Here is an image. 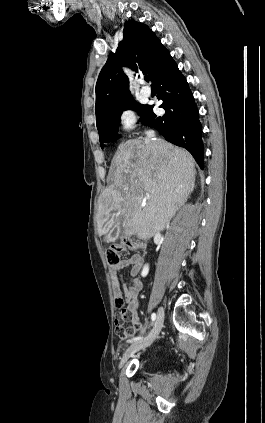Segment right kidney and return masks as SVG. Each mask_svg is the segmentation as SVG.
I'll return each mask as SVG.
<instances>
[{"instance_id": "1", "label": "right kidney", "mask_w": 265, "mask_h": 423, "mask_svg": "<svg viewBox=\"0 0 265 423\" xmlns=\"http://www.w3.org/2000/svg\"><path fill=\"white\" fill-rule=\"evenodd\" d=\"M148 272H149V266H148V265H145V266L143 267L142 272H141V276H142V277H145V276L148 274Z\"/></svg>"}]
</instances>
